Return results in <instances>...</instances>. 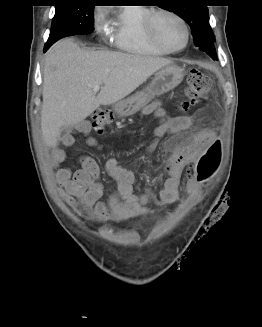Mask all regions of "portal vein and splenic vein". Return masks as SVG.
Returning <instances> with one entry per match:
<instances>
[{
  "label": "portal vein and splenic vein",
  "mask_w": 262,
  "mask_h": 327,
  "mask_svg": "<svg viewBox=\"0 0 262 327\" xmlns=\"http://www.w3.org/2000/svg\"><path fill=\"white\" fill-rule=\"evenodd\" d=\"M100 88H101L100 85L92 86V89H93L94 92H98L100 90Z\"/></svg>",
  "instance_id": "obj_1"
}]
</instances>
